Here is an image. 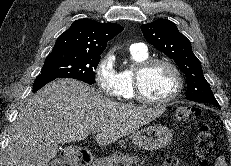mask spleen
Masks as SVG:
<instances>
[{
  "label": "spleen",
  "mask_w": 231,
  "mask_h": 166,
  "mask_svg": "<svg viewBox=\"0 0 231 166\" xmlns=\"http://www.w3.org/2000/svg\"><path fill=\"white\" fill-rule=\"evenodd\" d=\"M225 164H226V163H225L224 159H223V158H219V160H218L217 163H216V166H217V165H219V166H220V165H221V166H225Z\"/></svg>",
  "instance_id": "1"
}]
</instances>
